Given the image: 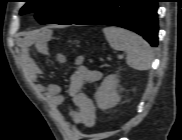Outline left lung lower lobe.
<instances>
[{"label": "left lung lower lobe", "instance_id": "left-lung-lower-lobe-1", "mask_svg": "<svg viewBox=\"0 0 182 140\" xmlns=\"http://www.w3.org/2000/svg\"><path fill=\"white\" fill-rule=\"evenodd\" d=\"M158 0H101L71 24L113 25L142 35L153 47L158 40Z\"/></svg>", "mask_w": 182, "mask_h": 140}]
</instances>
